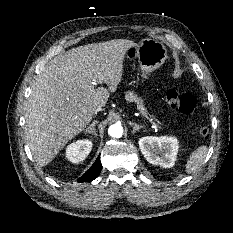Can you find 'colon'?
I'll return each instance as SVG.
<instances>
[{"label":"colon","mask_w":233,"mask_h":233,"mask_svg":"<svg viewBox=\"0 0 233 233\" xmlns=\"http://www.w3.org/2000/svg\"><path fill=\"white\" fill-rule=\"evenodd\" d=\"M165 100L173 108H177L181 113L188 116L198 115L197 101L194 95L190 93H179L175 89H169L165 93ZM204 117V115H202ZM198 134L202 137H208L210 129L203 124L198 127Z\"/></svg>","instance_id":"1"}]
</instances>
